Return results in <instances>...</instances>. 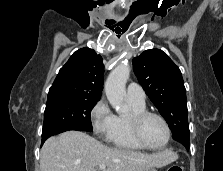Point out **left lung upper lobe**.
<instances>
[{"label": "left lung upper lobe", "mask_w": 223, "mask_h": 171, "mask_svg": "<svg viewBox=\"0 0 223 171\" xmlns=\"http://www.w3.org/2000/svg\"><path fill=\"white\" fill-rule=\"evenodd\" d=\"M139 83L168 123L174 140L189 147L186 90L180 69L160 49H150L133 59Z\"/></svg>", "instance_id": "obj_1"}]
</instances>
